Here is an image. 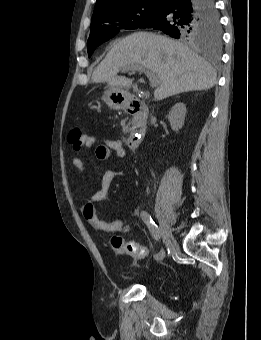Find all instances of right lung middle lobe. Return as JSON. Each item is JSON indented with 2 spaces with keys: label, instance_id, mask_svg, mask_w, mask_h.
Returning <instances> with one entry per match:
<instances>
[{
  "label": "right lung middle lobe",
  "instance_id": "obj_1",
  "mask_svg": "<svg viewBox=\"0 0 261 340\" xmlns=\"http://www.w3.org/2000/svg\"><path fill=\"white\" fill-rule=\"evenodd\" d=\"M163 0H146L114 9L92 21L87 41L88 55L97 46L114 37L121 29H138L146 25L159 12ZM178 38L188 41L212 40L219 42L221 27L218 13L190 16L180 27Z\"/></svg>",
  "mask_w": 261,
  "mask_h": 340
}]
</instances>
